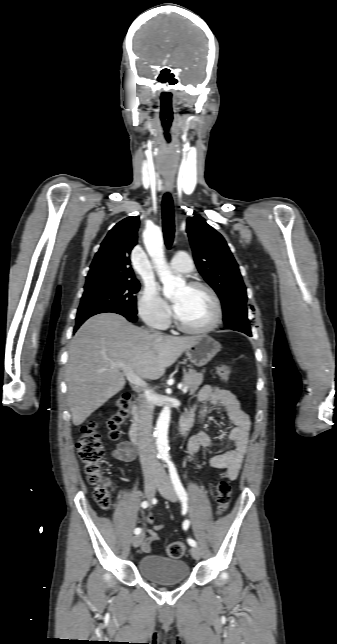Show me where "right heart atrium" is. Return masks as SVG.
<instances>
[{
	"label": "right heart atrium",
	"instance_id": "1",
	"mask_svg": "<svg viewBox=\"0 0 337 644\" xmlns=\"http://www.w3.org/2000/svg\"><path fill=\"white\" fill-rule=\"evenodd\" d=\"M138 310L148 325L163 328L169 321L166 303L161 299L155 285H146L140 293Z\"/></svg>",
	"mask_w": 337,
	"mask_h": 644
}]
</instances>
